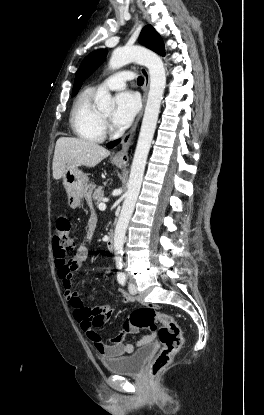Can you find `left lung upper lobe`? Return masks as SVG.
<instances>
[{
    "label": "left lung upper lobe",
    "mask_w": 264,
    "mask_h": 415,
    "mask_svg": "<svg viewBox=\"0 0 264 415\" xmlns=\"http://www.w3.org/2000/svg\"><path fill=\"white\" fill-rule=\"evenodd\" d=\"M139 41L142 45H145L154 52L162 56L165 55L163 41L151 25H147L143 28ZM106 55L107 50L100 49L92 52L82 61L78 71L76 72L73 96L79 91L84 80L90 76L104 61Z\"/></svg>",
    "instance_id": "1"
}]
</instances>
